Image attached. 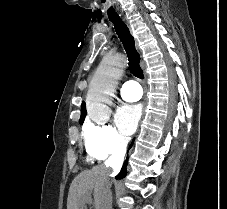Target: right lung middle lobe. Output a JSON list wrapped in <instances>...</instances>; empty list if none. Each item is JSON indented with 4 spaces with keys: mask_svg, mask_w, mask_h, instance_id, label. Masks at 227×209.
<instances>
[{
    "mask_svg": "<svg viewBox=\"0 0 227 209\" xmlns=\"http://www.w3.org/2000/svg\"><path fill=\"white\" fill-rule=\"evenodd\" d=\"M83 121H84V119H81V120H80V124H82V123H83Z\"/></svg>",
    "mask_w": 227,
    "mask_h": 209,
    "instance_id": "dd1d6c3e",
    "label": "right lung middle lobe"
}]
</instances>
